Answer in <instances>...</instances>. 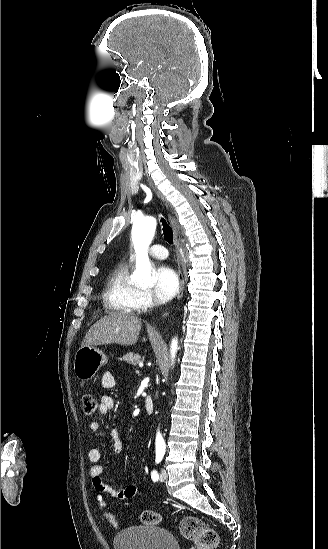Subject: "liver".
<instances>
[{
    "label": "liver",
    "mask_w": 328,
    "mask_h": 549,
    "mask_svg": "<svg viewBox=\"0 0 328 549\" xmlns=\"http://www.w3.org/2000/svg\"><path fill=\"white\" fill-rule=\"evenodd\" d=\"M142 329L141 321L128 313H109L103 319H99L86 333L81 347L92 345H135ZM143 343L147 339L143 337Z\"/></svg>",
    "instance_id": "6515ba94"
}]
</instances>
